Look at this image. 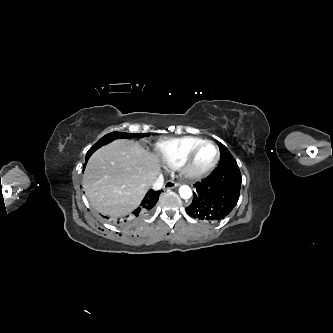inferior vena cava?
I'll return each instance as SVG.
<instances>
[{
	"label": "inferior vena cava",
	"instance_id": "602c4592",
	"mask_svg": "<svg viewBox=\"0 0 333 333\" xmlns=\"http://www.w3.org/2000/svg\"><path fill=\"white\" fill-rule=\"evenodd\" d=\"M164 184V178L162 174H159L156 180L151 184L152 189L154 190H160Z\"/></svg>",
	"mask_w": 333,
	"mask_h": 333
}]
</instances>
